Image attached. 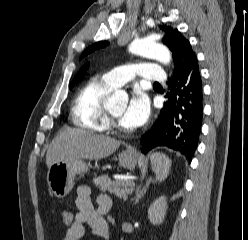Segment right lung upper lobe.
<instances>
[{
	"mask_svg": "<svg viewBox=\"0 0 248 240\" xmlns=\"http://www.w3.org/2000/svg\"><path fill=\"white\" fill-rule=\"evenodd\" d=\"M88 65H89V63H87V64H85L83 67H82V69L78 72V74L75 76V78L73 79V81H72V83L73 82H77V81H79L81 78H82V76L85 74V72H86V70H87V68H88Z\"/></svg>",
	"mask_w": 248,
	"mask_h": 240,
	"instance_id": "obj_1",
	"label": "right lung upper lobe"
}]
</instances>
